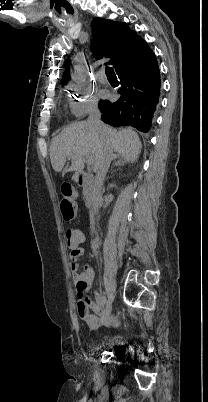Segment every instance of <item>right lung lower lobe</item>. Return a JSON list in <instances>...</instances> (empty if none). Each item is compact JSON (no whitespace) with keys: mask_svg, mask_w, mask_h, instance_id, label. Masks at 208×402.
Masks as SVG:
<instances>
[{"mask_svg":"<svg viewBox=\"0 0 208 402\" xmlns=\"http://www.w3.org/2000/svg\"><path fill=\"white\" fill-rule=\"evenodd\" d=\"M116 72L121 97L114 103L99 105L102 120L112 126L128 125L148 132L159 102L161 81L155 54L140 36L118 58Z\"/></svg>","mask_w":208,"mask_h":402,"instance_id":"1","label":"right lung lower lobe"}]
</instances>
